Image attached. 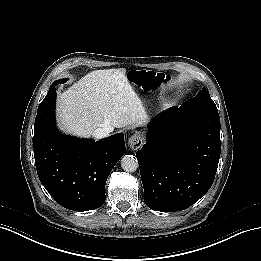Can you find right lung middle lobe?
Segmentation results:
<instances>
[{
    "instance_id": "right-lung-middle-lobe-1",
    "label": "right lung middle lobe",
    "mask_w": 261,
    "mask_h": 261,
    "mask_svg": "<svg viewBox=\"0 0 261 261\" xmlns=\"http://www.w3.org/2000/svg\"><path fill=\"white\" fill-rule=\"evenodd\" d=\"M66 81H67V79H62V80H58V81L54 82V84L51 86L50 90H51L54 86H56L57 84H59V83L64 84ZM50 90H49V91H50Z\"/></svg>"
}]
</instances>
